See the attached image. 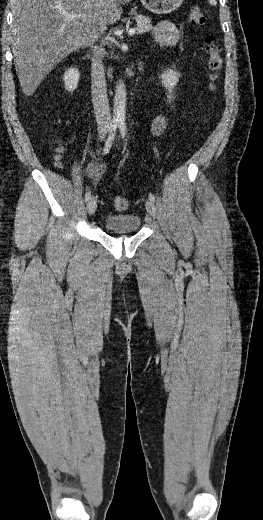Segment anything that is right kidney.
<instances>
[{
    "label": "right kidney",
    "instance_id": "1",
    "mask_svg": "<svg viewBox=\"0 0 263 520\" xmlns=\"http://www.w3.org/2000/svg\"><path fill=\"white\" fill-rule=\"evenodd\" d=\"M79 76H80V73L78 71V69L76 68H69L65 73H64V84H65V89L69 92H73L77 86H78V82H79Z\"/></svg>",
    "mask_w": 263,
    "mask_h": 520
}]
</instances>
